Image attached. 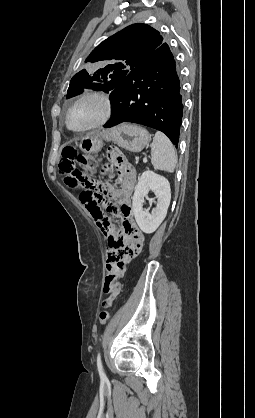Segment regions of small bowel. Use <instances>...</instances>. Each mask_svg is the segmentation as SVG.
I'll return each instance as SVG.
<instances>
[{
  "mask_svg": "<svg viewBox=\"0 0 255 418\" xmlns=\"http://www.w3.org/2000/svg\"><path fill=\"white\" fill-rule=\"evenodd\" d=\"M106 158L119 175V188L108 187L106 192L115 200L120 208L117 214L123 224L132 221L131 196L136 185V172L125 160L122 147H107ZM113 213H116V209ZM96 221V220H95ZM101 231L108 236L105 242L107 248V270L102 294L103 309H112L114 300L120 299V280L125 279V272L130 261L140 256L143 247L142 228L112 227L106 221H96Z\"/></svg>",
  "mask_w": 255,
  "mask_h": 418,
  "instance_id": "c3829d8e",
  "label": "small bowel"
}]
</instances>
